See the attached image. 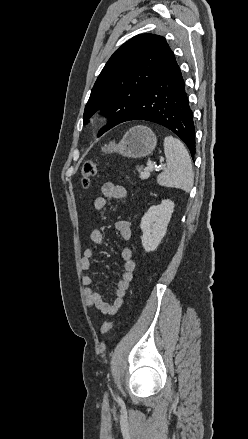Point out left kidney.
I'll return each instance as SVG.
<instances>
[{"label": "left kidney", "mask_w": 248, "mask_h": 439, "mask_svg": "<svg viewBox=\"0 0 248 439\" xmlns=\"http://www.w3.org/2000/svg\"><path fill=\"white\" fill-rule=\"evenodd\" d=\"M174 211V202L162 200L144 214L140 228L142 230V246L146 252L154 251L166 234L167 226Z\"/></svg>", "instance_id": "obj_1"}]
</instances>
